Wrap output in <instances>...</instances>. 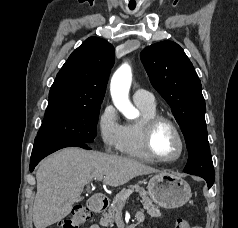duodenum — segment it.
I'll return each mask as SVG.
<instances>
[{
  "label": "duodenum",
  "mask_w": 238,
  "mask_h": 228,
  "mask_svg": "<svg viewBox=\"0 0 238 228\" xmlns=\"http://www.w3.org/2000/svg\"><path fill=\"white\" fill-rule=\"evenodd\" d=\"M108 198L102 195L94 196L88 201V207L93 212H101L108 205ZM143 217L142 212H137L136 218L141 219Z\"/></svg>",
  "instance_id": "410a0bca"
}]
</instances>
